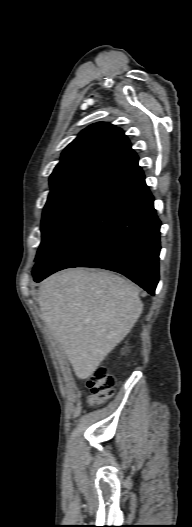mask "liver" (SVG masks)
<instances>
[{
  "instance_id": "1",
  "label": "liver",
  "mask_w": 192,
  "mask_h": 527,
  "mask_svg": "<svg viewBox=\"0 0 192 527\" xmlns=\"http://www.w3.org/2000/svg\"><path fill=\"white\" fill-rule=\"evenodd\" d=\"M42 320L59 342L75 375L87 379L124 339L143 304L130 281L101 270L70 269L38 290Z\"/></svg>"
}]
</instances>
